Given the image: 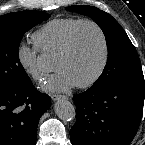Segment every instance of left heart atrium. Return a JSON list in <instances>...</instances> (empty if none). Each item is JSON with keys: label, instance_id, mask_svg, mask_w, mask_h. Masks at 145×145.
Instances as JSON below:
<instances>
[{"label": "left heart atrium", "instance_id": "39dd6f15", "mask_svg": "<svg viewBox=\"0 0 145 145\" xmlns=\"http://www.w3.org/2000/svg\"><path fill=\"white\" fill-rule=\"evenodd\" d=\"M76 85L75 81L65 71H57L52 75L44 86L50 92L67 91Z\"/></svg>", "mask_w": 145, "mask_h": 145}]
</instances>
